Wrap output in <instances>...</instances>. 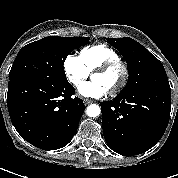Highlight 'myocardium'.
Here are the masks:
<instances>
[{
    "label": "myocardium",
    "mask_w": 178,
    "mask_h": 178,
    "mask_svg": "<svg viewBox=\"0 0 178 178\" xmlns=\"http://www.w3.org/2000/svg\"><path fill=\"white\" fill-rule=\"evenodd\" d=\"M117 68L121 70V79L119 83L112 90L109 91V94L111 95L117 94L126 85L129 77V69L127 64L121 61L120 59L111 60L103 63L102 65L98 66L96 69L92 71V76H93L94 74L106 73L110 70L117 69Z\"/></svg>",
    "instance_id": "obj_1"
}]
</instances>
